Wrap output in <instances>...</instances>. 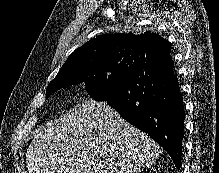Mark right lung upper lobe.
I'll return each mask as SVG.
<instances>
[{
	"label": "right lung upper lobe",
	"instance_id": "obj_1",
	"mask_svg": "<svg viewBox=\"0 0 219 173\" xmlns=\"http://www.w3.org/2000/svg\"><path fill=\"white\" fill-rule=\"evenodd\" d=\"M171 44L151 32L136 35L115 33L99 35L76 49L67 59L57 76L70 72L85 74L104 65L127 62L138 66L154 59L163 62L171 59Z\"/></svg>",
	"mask_w": 219,
	"mask_h": 173
}]
</instances>
